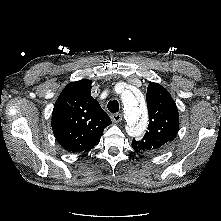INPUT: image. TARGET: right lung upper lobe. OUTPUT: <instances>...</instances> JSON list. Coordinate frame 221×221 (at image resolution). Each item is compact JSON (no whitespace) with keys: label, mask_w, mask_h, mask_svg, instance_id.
<instances>
[{"label":"right lung upper lobe","mask_w":221,"mask_h":221,"mask_svg":"<svg viewBox=\"0 0 221 221\" xmlns=\"http://www.w3.org/2000/svg\"><path fill=\"white\" fill-rule=\"evenodd\" d=\"M91 81L68 84L52 112V129L58 143L68 152H88L100 141L112 122L91 96Z\"/></svg>","instance_id":"obj_1"}]
</instances>
